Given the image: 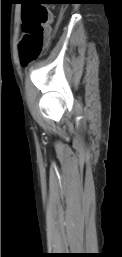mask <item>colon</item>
Masks as SVG:
<instances>
[{"mask_svg": "<svg viewBox=\"0 0 122 257\" xmlns=\"http://www.w3.org/2000/svg\"><path fill=\"white\" fill-rule=\"evenodd\" d=\"M23 37L19 49L23 61L38 56L49 39L51 14L45 5H21Z\"/></svg>", "mask_w": 122, "mask_h": 257, "instance_id": "5ec220e1", "label": "colon"}]
</instances>
